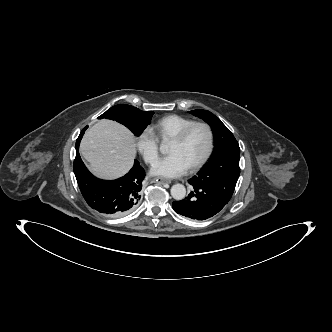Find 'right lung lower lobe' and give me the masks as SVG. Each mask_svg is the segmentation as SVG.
Here are the masks:
<instances>
[{
    "mask_svg": "<svg viewBox=\"0 0 332 332\" xmlns=\"http://www.w3.org/2000/svg\"><path fill=\"white\" fill-rule=\"evenodd\" d=\"M85 127L76 141L74 173L81 193L88 205L108 217H121L132 212L140 202L143 168L135 160L134 166L125 176L105 181L94 177L85 167L78 153Z\"/></svg>",
    "mask_w": 332,
    "mask_h": 332,
    "instance_id": "obj_1",
    "label": "right lung lower lobe"
}]
</instances>
